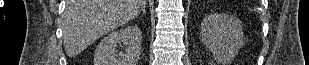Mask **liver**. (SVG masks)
I'll list each match as a JSON object with an SVG mask.
<instances>
[{
	"label": "liver",
	"mask_w": 309,
	"mask_h": 65,
	"mask_svg": "<svg viewBox=\"0 0 309 65\" xmlns=\"http://www.w3.org/2000/svg\"><path fill=\"white\" fill-rule=\"evenodd\" d=\"M146 0H67L63 14L64 48L69 57L136 17Z\"/></svg>",
	"instance_id": "6515ba94"
}]
</instances>
